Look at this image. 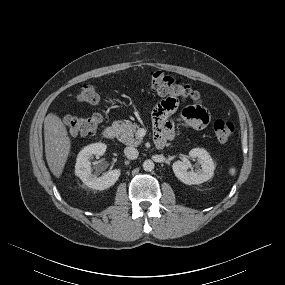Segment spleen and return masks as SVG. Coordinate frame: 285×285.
<instances>
[{
    "mask_svg": "<svg viewBox=\"0 0 285 285\" xmlns=\"http://www.w3.org/2000/svg\"><path fill=\"white\" fill-rule=\"evenodd\" d=\"M229 174L232 175V176H234V175L236 174V169H235L234 167H231V168L229 169Z\"/></svg>",
    "mask_w": 285,
    "mask_h": 285,
    "instance_id": "1",
    "label": "spleen"
}]
</instances>
